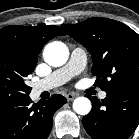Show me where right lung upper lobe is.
Here are the masks:
<instances>
[{
	"instance_id": "obj_1",
	"label": "right lung upper lobe",
	"mask_w": 139,
	"mask_h": 139,
	"mask_svg": "<svg viewBox=\"0 0 139 139\" xmlns=\"http://www.w3.org/2000/svg\"><path fill=\"white\" fill-rule=\"evenodd\" d=\"M65 33L56 25L8 26L0 29V51L14 53L35 69L38 54L52 38Z\"/></svg>"
}]
</instances>
